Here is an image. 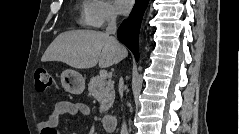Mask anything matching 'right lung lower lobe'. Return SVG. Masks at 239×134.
<instances>
[{"mask_svg": "<svg viewBox=\"0 0 239 134\" xmlns=\"http://www.w3.org/2000/svg\"><path fill=\"white\" fill-rule=\"evenodd\" d=\"M148 2L149 0H136L129 18L123 21L117 32L120 42L125 44L133 52L137 61L139 59V30Z\"/></svg>", "mask_w": 239, "mask_h": 134, "instance_id": "obj_1", "label": "right lung lower lobe"}]
</instances>
